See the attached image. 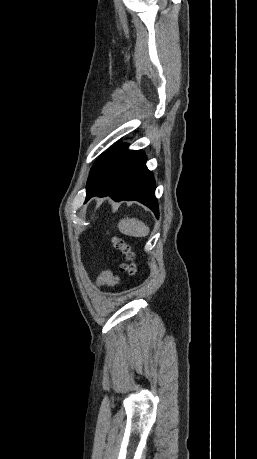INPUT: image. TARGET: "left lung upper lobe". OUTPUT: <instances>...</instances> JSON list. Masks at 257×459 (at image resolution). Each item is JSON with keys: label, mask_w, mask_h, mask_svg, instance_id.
Listing matches in <instances>:
<instances>
[{"label": "left lung upper lobe", "mask_w": 257, "mask_h": 459, "mask_svg": "<svg viewBox=\"0 0 257 459\" xmlns=\"http://www.w3.org/2000/svg\"><path fill=\"white\" fill-rule=\"evenodd\" d=\"M99 167H100V160L98 158L96 162L94 163L93 167L91 168L90 175L88 178V183H87V190L92 185L95 178L97 177V174L99 172Z\"/></svg>", "instance_id": "obj_1"}]
</instances>
